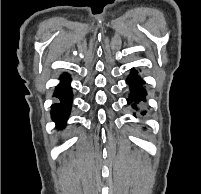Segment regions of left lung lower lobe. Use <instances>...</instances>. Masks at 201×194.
<instances>
[{"label": "left lung lower lobe", "mask_w": 201, "mask_h": 194, "mask_svg": "<svg viewBox=\"0 0 201 194\" xmlns=\"http://www.w3.org/2000/svg\"><path fill=\"white\" fill-rule=\"evenodd\" d=\"M126 83L130 86V96L127 99L128 104L138 110V104L146 101V90L143 87L145 84L138 75V71L132 69L130 76L127 78ZM146 111H141V115H145Z\"/></svg>", "instance_id": "obj_1"}]
</instances>
